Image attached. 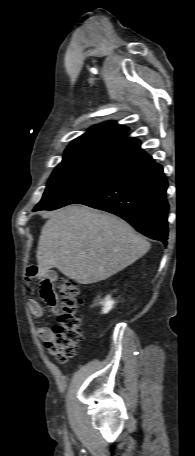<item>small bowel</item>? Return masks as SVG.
Masks as SVG:
<instances>
[{"instance_id":"1","label":"small bowel","mask_w":195,"mask_h":456,"mask_svg":"<svg viewBox=\"0 0 195 456\" xmlns=\"http://www.w3.org/2000/svg\"><path fill=\"white\" fill-rule=\"evenodd\" d=\"M40 280L39 290L41 297L47 303V305L55 310L56 308V293L53 288V277L49 274H40L36 266H29L26 271V280L29 285L32 284L34 279ZM30 313L35 317H42L44 314L43 307L36 300H29L28 302ZM39 338L44 342H50L54 340L55 334L49 327H40L37 330Z\"/></svg>"}]
</instances>
